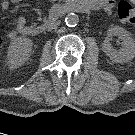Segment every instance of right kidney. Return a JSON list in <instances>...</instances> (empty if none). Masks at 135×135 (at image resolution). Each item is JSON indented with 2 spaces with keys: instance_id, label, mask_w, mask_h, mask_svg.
Listing matches in <instances>:
<instances>
[{
  "instance_id": "1",
  "label": "right kidney",
  "mask_w": 135,
  "mask_h": 135,
  "mask_svg": "<svg viewBox=\"0 0 135 135\" xmlns=\"http://www.w3.org/2000/svg\"><path fill=\"white\" fill-rule=\"evenodd\" d=\"M33 43L29 38L17 37L8 47V64L10 69L22 66L30 57Z\"/></svg>"
}]
</instances>
